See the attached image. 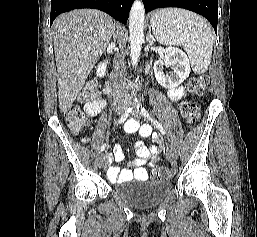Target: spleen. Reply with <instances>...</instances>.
Wrapping results in <instances>:
<instances>
[{
  "mask_svg": "<svg viewBox=\"0 0 257 237\" xmlns=\"http://www.w3.org/2000/svg\"><path fill=\"white\" fill-rule=\"evenodd\" d=\"M150 22L159 43L185 49L195 73L202 74L208 69L213 51V35L203 18L187 10L168 8L157 11Z\"/></svg>",
  "mask_w": 257,
  "mask_h": 237,
  "instance_id": "obj_1",
  "label": "spleen"
}]
</instances>
